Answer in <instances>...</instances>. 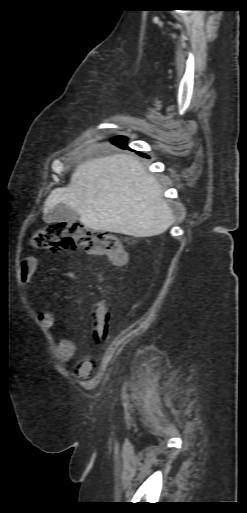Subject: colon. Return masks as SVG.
<instances>
[{"label":"colon","instance_id":"5ec220e1","mask_svg":"<svg viewBox=\"0 0 247 513\" xmlns=\"http://www.w3.org/2000/svg\"><path fill=\"white\" fill-rule=\"evenodd\" d=\"M38 243L49 248L70 247L82 249L89 254L108 256L117 264L128 262V252L122 248L113 234L95 231L79 223H53L45 226L38 235ZM93 337L103 341L112 322V304L109 300H94L91 304Z\"/></svg>","mask_w":247,"mask_h":513}]
</instances>
